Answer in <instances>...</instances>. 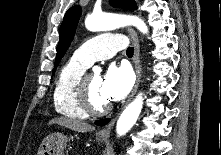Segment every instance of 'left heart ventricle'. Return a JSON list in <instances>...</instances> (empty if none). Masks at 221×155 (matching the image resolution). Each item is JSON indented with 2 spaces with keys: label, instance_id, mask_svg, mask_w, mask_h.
<instances>
[{
  "label": "left heart ventricle",
  "instance_id": "left-heart-ventricle-1",
  "mask_svg": "<svg viewBox=\"0 0 221 155\" xmlns=\"http://www.w3.org/2000/svg\"><path fill=\"white\" fill-rule=\"evenodd\" d=\"M89 88L93 103L102 107L109 103L102 91V77L97 73H91L89 76Z\"/></svg>",
  "mask_w": 221,
  "mask_h": 155
}]
</instances>
